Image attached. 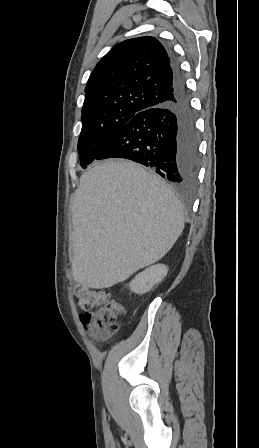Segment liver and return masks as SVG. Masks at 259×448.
Listing matches in <instances>:
<instances>
[{"instance_id": "1", "label": "liver", "mask_w": 259, "mask_h": 448, "mask_svg": "<svg viewBox=\"0 0 259 448\" xmlns=\"http://www.w3.org/2000/svg\"><path fill=\"white\" fill-rule=\"evenodd\" d=\"M72 212L73 280L96 290L161 260L184 230L172 188L130 160H105L84 172Z\"/></svg>"}]
</instances>
